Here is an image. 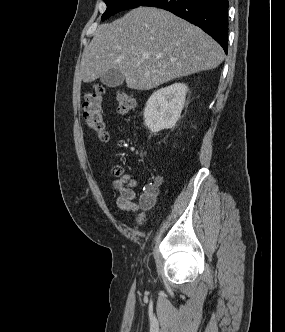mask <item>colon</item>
Here are the masks:
<instances>
[{
	"label": "colon",
	"mask_w": 285,
	"mask_h": 332,
	"mask_svg": "<svg viewBox=\"0 0 285 332\" xmlns=\"http://www.w3.org/2000/svg\"><path fill=\"white\" fill-rule=\"evenodd\" d=\"M104 94L105 86L96 85L85 95L83 101V116L87 125L96 134L99 140L107 142L109 135L106 128L103 109ZM116 100L117 110L120 115L128 114L136 104L134 95L123 90L117 91ZM114 174L120 176L122 174V169L120 167H115Z\"/></svg>",
	"instance_id": "5ec220e1"
}]
</instances>
